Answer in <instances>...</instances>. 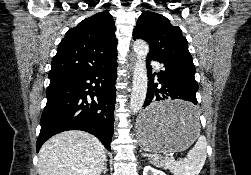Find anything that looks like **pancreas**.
<instances>
[{"mask_svg": "<svg viewBox=\"0 0 251 175\" xmlns=\"http://www.w3.org/2000/svg\"><path fill=\"white\" fill-rule=\"evenodd\" d=\"M167 159H161V161H159V159H154V163L155 165H159V167H164V163H166Z\"/></svg>", "mask_w": 251, "mask_h": 175, "instance_id": "1", "label": "pancreas"}]
</instances>
